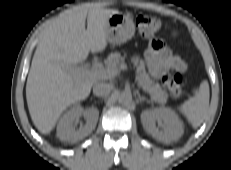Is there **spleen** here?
<instances>
[{"label":"spleen","mask_w":231,"mask_h":170,"mask_svg":"<svg viewBox=\"0 0 231 170\" xmlns=\"http://www.w3.org/2000/svg\"><path fill=\"white\" fill-rule=\"evenodd\" d=\"M209 97V84L203 81L195 96L178 107L179 112L186 117L193 128H197L204 121L209 107Z\"/></svg>","instance_id":"spleen-1"}]
</instances>
